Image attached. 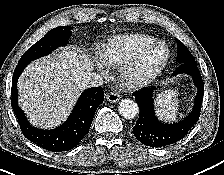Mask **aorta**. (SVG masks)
<instances>
[{
  "mask_svg": "<svg viewBox=\"0 0 224 175\" xmlns=\"http://www.w3.org/2000/svg\"><path fill=\"white\" fill-rule=\"evenodd\" d=\"M119 112L126 119H133L139 113L138 105L130 99H123L119 103Z\"/></svg>",
  "mask_w": 224,
  "mask_h": 175,
  "instance_id": "aorta-1",
  "label": "aorta"
}]
</instances>
